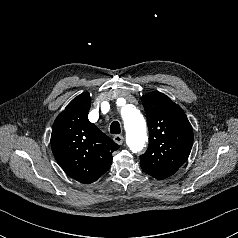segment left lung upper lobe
I'll return each instance as SVG.
<instances>
[{
	"label": "left lung upper lobe",
	"instance_id": "obj_1",
	"mask_svg": "<svg viewBox=\"0 0 238 238\" xmlns=\"http://www.w3.org/2000/svg\"><path fill=\"white\" fill-rule=\"evenodd\" d=\"M148 122L150 141L140 156L144 172L162 180L173 175L188 159L193 145V129L182 110L160 92L141 97Z\"/></svg>",
	"mask_w": 238,
	"mask_h": 238
}]
</instances>
